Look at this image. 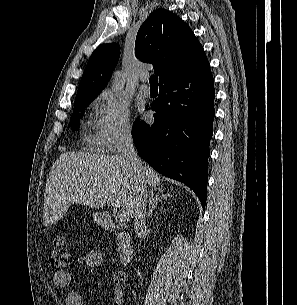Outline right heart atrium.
I'll return each mask as SVG.
<instances>
[{
    "label": "right heart atrium",
    "mask_w": 297,
    "mask_h": 305,
    "mask_svg": "<svg viewBox=\"0 0 297 305\" xmlns=\"http://www.w3.org/2000/svg\"><path fill=\"white\" fill-rule=\"evenodd\" d=\"M96 106L102 147L108 152H117L133 137L131 111L128 105L111 91L102 92L96 99Z\"/></svg>",
    "instance_id": "d8ad5b80"
}]
</instances>
